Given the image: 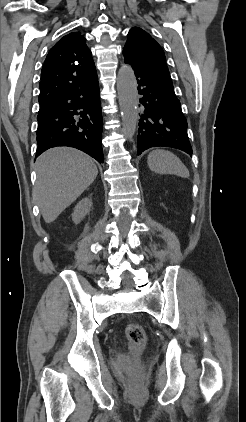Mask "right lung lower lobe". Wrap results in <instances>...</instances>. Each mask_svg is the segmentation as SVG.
<instances>
[{"instance_id": "1", "label": "right lung lower lobe", "mask_w": 246, "mask_h": 422, "mask_svg": "<svg viewBox=\"0 0 246 422\" xmlns=\"http://www.w3.org/2000/svg\"><path fill=\"white\" fill-rule=\"evenodd\" d=\"M37 154L56 146L82 150L104 162L102 112L97 76L89 83L40 105Z\"/></svg>"}]
</instances>
